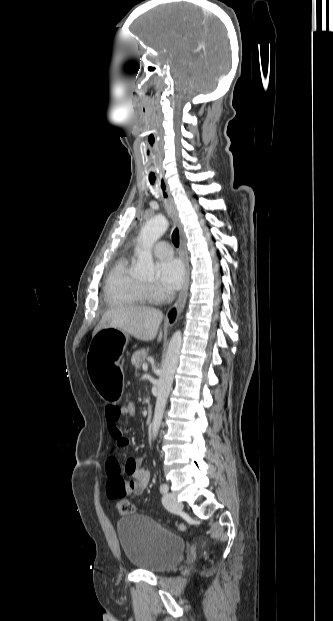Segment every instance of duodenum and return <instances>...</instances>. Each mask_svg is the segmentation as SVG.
I'll use <instances>...</instances> for the list:
<instances>
[{
  "label": "duodenum",
  "mask_w": 333,
  "mask_h": 621,
  "mask_svg": "<svg viewBox=\"0 0 333 621\" xmlns=\"http://www.w3.org/2000/svg\"><path fill=\"white\" fill-rule=\"evenodd\" d=\"M152 416H153L152 408L148 407L147 408V413H146V421L148 423L152 421Z\"/></svg>",
  "instance_id": "410a0bca"
}]
</instances>
